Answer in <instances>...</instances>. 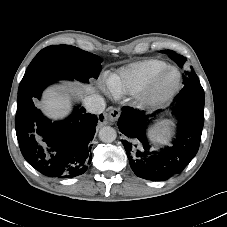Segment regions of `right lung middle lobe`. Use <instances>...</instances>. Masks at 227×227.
Segmentation results:
<instances>
[{"mask_svg": "<svg viewBox=\"0 0 227 227\" xmlns=\"http://www.w3.org/2000/svg\"><path fill=\"white\" fill-rule=\"evenodd\" d=\"M102 59L69 45H52L42 49L28 66L19 85L18 94L43 82L76 78L88 82L97 78Z\"/></svg>", "mask_w": 227, "mask_h": 227, "instance_id": "dd1d6c3e", "label": "right lung middle lobe"}]
</instances>
